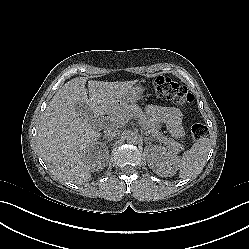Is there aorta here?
<instances>
[{"instance_id": "obj_1", "label": "aorta", "mask_w": 249, "mask_h": 249, "mask_svg": "<svg viewBox=\"0 0 249 249\" xmlns=\"http://www.w3.org/2000/svg\"><path fill=\"white\" fill-rule=\"evenodd\" d=\"M138 139H139V135L135 132L130 131L126 134V141L128 143H135L138 141Z\"/></svg>"}]
</instances>
